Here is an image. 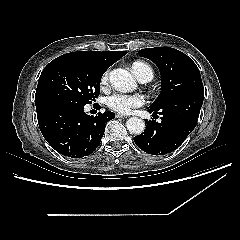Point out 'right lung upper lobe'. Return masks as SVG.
I'll list each match as a JSON object with an SVG mask.
<instances>
[{"mask_svg":"<svg viewBox=\"0 0 240 240\" xmlns=\"http://www.w3.org/2000/svg\"><path fill=\"white\" fill-rule=\"evenodd\" d=\"M126 51H78L71 52L61 56L76 57L89 62L94 68L106 71L112 64L123 57Z\"/></svg>","mask_w":240,"mask_h":240,"instance_id":"obj_1","label":"right lung upper lobe"}]
</instances>
